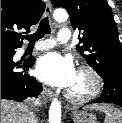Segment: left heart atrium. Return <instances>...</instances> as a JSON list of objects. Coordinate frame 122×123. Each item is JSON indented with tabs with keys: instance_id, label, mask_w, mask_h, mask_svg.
Listing matches in <instances>:
<instances>
[{
	"instance_id": "obj_1",
	"label": "left heart atrium",
	"mask_w": 122,
	"mask_h": 123,
	"mask_svg": "<svg viewBox=\"0 0 122 123\" xmlns=\"http://www.w3.org/2000/svg\"><path fill=\"white\" fill-rule=\"evenodd\" d=\"M35 72L42 82L66 89L71 88L77 76L72 60L56 52L40 57Z\"/></svg>"
}]
</instances>
